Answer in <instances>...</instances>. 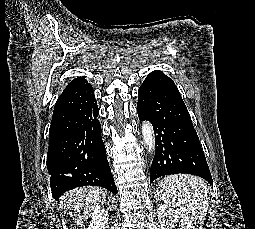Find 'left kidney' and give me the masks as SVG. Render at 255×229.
Returning <instances> with one entry per match:
<instances>
[{
    "label": "left kidney",
    "instance_id": "left-kidney-1",
    "mask_svg": "<svg viewBox=\"0 0 255 229\" xmlns=\"http://www.w3.org/2000/svg\"><path fill=\"white\" fill-rule=\"evenodd\" d=\"M158 221L160 229H174V223L169 219H174L180 222V229H195L191 220L185 214L170 208L163 204L157 209Z\"/></svg>",
    "mask_w": 255,
    "mask_h": 229
}]
</instances>
